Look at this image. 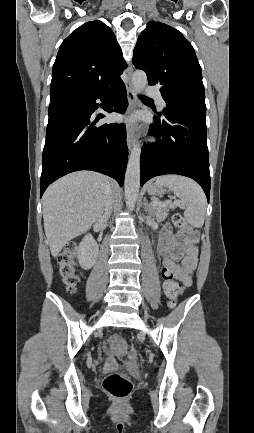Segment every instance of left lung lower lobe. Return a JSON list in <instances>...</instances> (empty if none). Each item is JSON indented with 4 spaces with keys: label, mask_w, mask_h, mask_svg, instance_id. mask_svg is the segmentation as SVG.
<instances>
[{
    "label": "left lung lower lobe",
    "mask_w": 254,
    "mask_h": 433,
    "mask_svg": "<svg viewBox=\"0 0 254 433\" xmlns=\"http://www.w3.org/2000/svg\"><path fill=\"white\" fill-rule=\"evenodd\" d=\"M206 112L193 107L167 110L154 116L149 132L157 140L141 151V186L152 177L179 174L190 177L203 188L208 202L210 173L206 141Z\"/></svg>",
    "instance_id": "0a47b994"
}]
</instances>
